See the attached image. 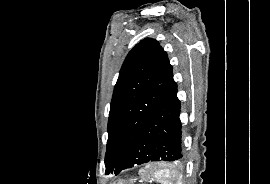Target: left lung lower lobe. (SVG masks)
Here are the masks:
<instances>
[{
  "mask_svg": "<svg viewBox=\"0 0 270 184\" xmlns=\"http://www.w3.org/2000/svg\"><path fill=\"white\" fill-rule=\"evenodd\" d=\"M181 104L173 82L163 100L138 135L122 166L116 172L154 161H181L184 157Z\"/></svg>",
  "mask_w": 270,
  "mask_h": 184,
  "instance_id": "obj_1",
  "label": "left lung lower lobe"
}]
</instances>
